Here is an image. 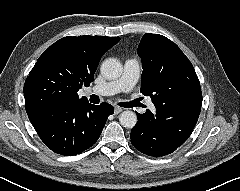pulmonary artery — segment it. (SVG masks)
<instances>
[{
	"label": "pulmonary artery",
	"mask_w": 240,
	"mask_h": 191,
	"mask_svg": "<svg viewBox=\"0 0 240 191\" xmlns=\"http://www.w3.org/2000/svg\"><path fill=\"white\" fill-rule=\"evenodd\" d=\"M140 76V63L136 58H129L124 63L122 75L110 82L102 85H97L92 88V91L100 95H113L119 92H129L136 85ZM148 105L153 109L151 102Z\"/></svg>",
	"instance_id": "obj_1"
}]
</instances>
